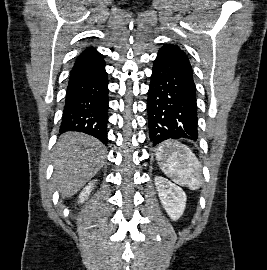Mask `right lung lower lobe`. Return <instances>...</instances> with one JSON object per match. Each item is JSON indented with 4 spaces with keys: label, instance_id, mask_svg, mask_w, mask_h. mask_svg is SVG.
<instances>
[{
    "label": "right lung lower lobe",
    "instance_id": "98d812e1",
    "mask_svg": "<svg viewBox=\"0 0 267 270\" xmlns=\"http://www.w3.org/2000/svg\"><path fill=\"white\" fill-rule=\"evenodd\" d=\"M108 79L103 56L83 51L70 73L60 133L79 131L107 142Z\"/></svg>",
    "mask_w": 267,
    "mask_h": 270
}]
</instances>
